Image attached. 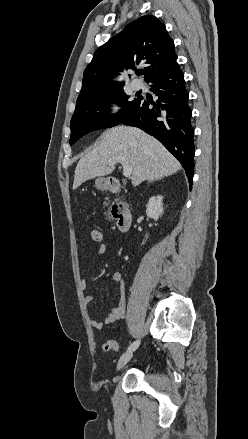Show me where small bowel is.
I'll use <instances>...</instances> for the list:
<instances>
[{
	"label": "small bowel",
	"mask_w": 248,
	"mask_h": 439,
	"mask_svg": "<svg viewBox=\"0 0 248 439\" xmlns=\"http://www.w3.org/2000/svg\"><path fill=\"white\" fill-rule=\"evenodd\" d=\"M107 246L102 243L98 246L96 253L98 255H102L106 252ZM112 280L118 285L119 287V300L117 306L113 307L110 312L107 314L105 320L103 322L97 321V320H91L90 324L93 328L97 330H101L104 328V326L113 324L116 322H119L126 317V295H125V281L122 276V274L118 271L114 272L112 275ZM81 288L82 290H86L87 285L84 280L81 282ZM84 300L86 303H91L94 301V297L91 295H86L84 297Z\"/></svg>",
	"instance_id": "1"
}]
</instances>
